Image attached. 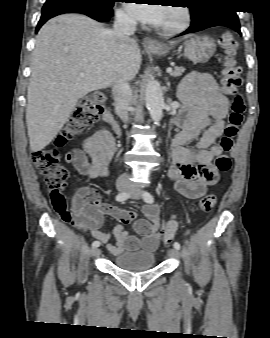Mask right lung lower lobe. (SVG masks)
Returning a JSON list of instances; mask_svg holds the SVG:
<instances>
[{
  "label": "right lung lower lobe",
  "instance_id": "obj_1",
  "mask_svg": "<svg viewBox=\"0 0 270 338\" xmlns=\"http://www.w3.org/2000/svg\"><path fill=\"white\" fill-rule=\"evenodd\" d=\"M81 13L97 21L105 22L113 15L112 7H101L84 3H45L42 8V15L38 22L36 32L50 18L64 13Z\"/></svg>",
  "mask_w": 270,
  "mask_h": 338
}]
</instances>
